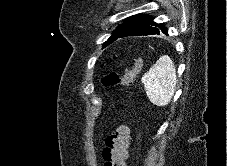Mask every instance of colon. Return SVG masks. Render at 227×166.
Instances as JSON below:
<instances>
[{
  "mask_svg": "<svg viewBox=\"0 0 227 166\" xmlns=\"http://www.w3.org/2000/svg\"><path fill=\"white\" fill-rule=\"evenodd\" d=\"M141 59L133 60V67L123 75L109 73L104 76L102 82L105 86H128L133 77L141 69ZM129 146V128L126 125H120L111 135L106 138L103 149L104 166H126Z\"/></svg>",
  "mask_w": 227,
  "mask_h": 166,
  "instance_id": "1",
  "label": "colon"
}]
</instances>
